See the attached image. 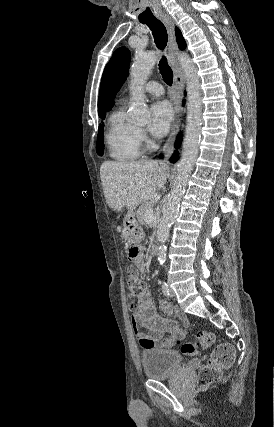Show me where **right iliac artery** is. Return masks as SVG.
Returning <instances> with one entry per match:
<instances>
[{"label": "right iliac artery", "mask_w": 274, "mask_h": 427, "mask_svg": "<svg viewBox=\"0 0 274 427\" xmlns=\"http://www.w3.org/2000/svg\"><path fill=\"white\" fill-rule=\"evenodd\" d=\"M162 292L166 297H168V298L170 297V290H169L168 284L166 282H164L162 284Z\"/></svg>", "instance_id": "82829eb1"}]
</instances>
